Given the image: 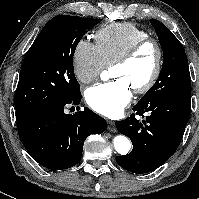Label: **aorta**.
I'll return each mask as SVG.
<instances>
[{
  "label": "aorta",
  "instance_id": "1",
  "mask_svg": "<svg viewBox=\"0 0 199 199\" xmlns=\"http://www.w3.org/2000/svg\"><path fill=\"white\" fill-rule=\"evenodd\" d=\"M115 150L121 154L126 155L131 149V143L124 135H118L113 140Z\"/></svg>",
  "mask_w": 199,
  "mask_h": 199
}]
</instances>
